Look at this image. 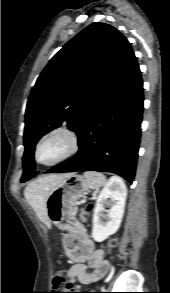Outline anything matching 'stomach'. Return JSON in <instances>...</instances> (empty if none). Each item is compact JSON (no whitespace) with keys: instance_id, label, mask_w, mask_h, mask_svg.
<instances>
[{"instance_id":"1","label":"stomach","mask_w":170,"mask_h":293,"mask_svg":"<svg viewBox=\"0 0 170 293\" xmlns=\"http://www.w3.org/2000/svg\"><path fill=\"white\" fill-rule=\"evenodd\" d=\"M84 177L70 173L50 191L46 202L48 219L58 228L75 230L77 202L89 193Z\"/></svg>"}]
</instances>
